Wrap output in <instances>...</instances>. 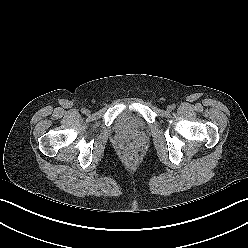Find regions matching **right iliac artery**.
Wrapping results in <instances>:
<instances>
[{
    "label": "right iliac artery",
    "mask_w": 248,
    "mask_h": 248,
    "mask_svg": "<svg viewBox=\"0 0 248 248\" xmlns=\"http://www.w3.org/2000/svg\"><path fill=\"white\" fill-rule=\"evenodd\" d=\"M81 112H82V113H85V112H86V109H85V108H82V109H81Z\"/></svg>",
    "instance_id": "82829eb1"
}]
</instances>
